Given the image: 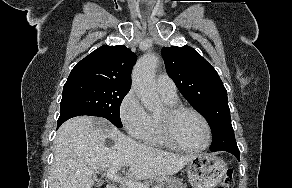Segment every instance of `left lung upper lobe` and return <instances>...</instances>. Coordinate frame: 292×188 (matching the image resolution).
<instances>
[{"label":"left lung upper lobe","mask_w":292,"mask_h":188,"mask_svg":"<svg viewBox=\"0 0 292 188\" xmlns=\"http://www.w3.org/2000/svg\"><path fill=\"white\" fill-rule=\"evenodd\" d=\"M162 54L169 77L209 123L213 135L211 151L237 146L227 91L216 70L187 45L164 47Z\"/></svg>","instance_id":"obj_1"}]
</instances>
